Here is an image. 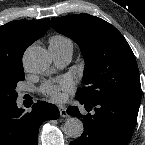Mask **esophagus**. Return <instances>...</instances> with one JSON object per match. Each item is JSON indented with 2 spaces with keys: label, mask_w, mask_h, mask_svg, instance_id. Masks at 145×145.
Segmentation results:
<instances>
[{
  "label": "esophagus",
  "mask_w": 145,
  "mask_h": 145,
  "mask_svg": "<svg viewBox=\"0 0 145 145\" xmlns=\"http://www.w3.org/2000/svg\"><path fill=\"white\" fill-rule=\"evenodd\" d=\"M59 111H60L61 117L67 116V111H66V108L64 106H59Z\"/></svg>",
  "instance_id": "esophagus-1"
}]
</instances>
